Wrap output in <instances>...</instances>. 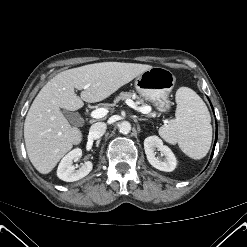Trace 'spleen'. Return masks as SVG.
Masks as SVG:
<instances>
[{
	"label": "spleen",
	"instance_id": "1",
	"mask_svg": "<svg viewBox=\"0 0 247 247\" xmlns=\"http://www.w3.org/2000/svg\"><path fill=\"white\" fill-rule=\"evenodd\" d=\"M175 119L159 129L160 136L193 159L205 157L212 142L211 117L200 96L188 87L176 92Z\"/></svg>",
	"mask_w": 247,
	"mask_h": 247
}]
</instances>
